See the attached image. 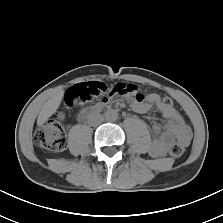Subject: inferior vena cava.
<instances>
[{
  "label": "inferior vena cava",
  "mask_w": 223,
  "mask_h": 223,
  "mask_svg": "<svg viewBox=\"0 0 223 223\" xmlns=\"http://www.w3.org/2000/svg\"><path fill=\"white\" fill-rule=\"evenodd\" d=\"M104 118L101 114L97 113L94 114L90 120V124L91 125H98L101 124L103 122Z\"/></svg>",
  "instance_id": "1"
}]
</instances>
